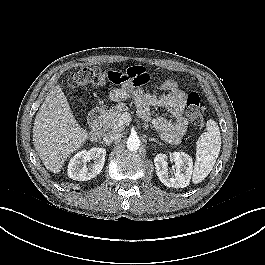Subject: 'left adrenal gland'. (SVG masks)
<instances>
[{"label": "left adrenal gland", "mask_w": 265, "mask_h": 265, "mask_svg": "<svg viewBox=\"0 0 265 265\" xmlns=\"http://www.w3.org/2000/svg\"><path fill=\"white\" fill-rule=\"evenodd\" d=\"M149 141H153L159 145H163L161 142H159L157 139H154V138H150Z\"/></svg>", "instance_id": "left-adrenal-gland-1"}]
</instances>
